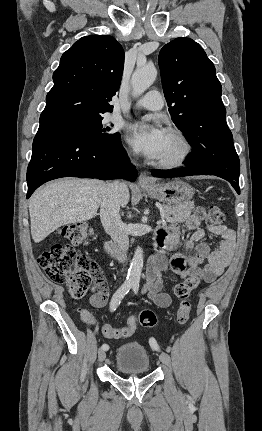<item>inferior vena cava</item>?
I'll list each match as a JSON object with an SVG mask.
<instances>
[{
	"label": "inferior vena cava",
	"instance_id": "inferior-vena-cava-1",
	"mask_svg": "<svg viewBox=\"0 0 262 431\" xmlns=\"http://www.w3.org/2000/svg\"><path fill=\"white\" fill-rule=\"evenodd\" d=\"M125 188L126 185L119 180L108 183L100 205L101 223L105 231L117 243L119 251L123 254L129 248L128 231L119 214L120 195Z\"/></svg>",
	"mask_w": 262,
	"mask_h": 431
}]
</instances>
